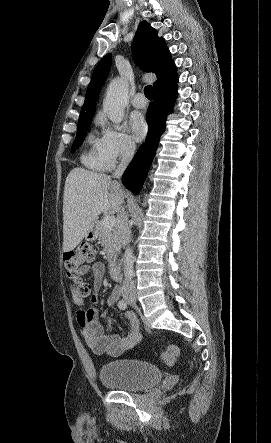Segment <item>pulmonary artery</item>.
Segmentation results:
<instances>
[{"instance_id":"e3ab8cb5","label":"pulmonary artery","mask_w":271,"mask_h":443,"mask_svg":"<svg viewBox=\"0 0 271 443\" xmlns=\"http://www.w3.org/2000/svg\"><path fill=\"white\" fill-rule=\"evenodd\" d=\"M131 102L135 108H139V109L145 108L148 103L147 98L145 97V95L143 93H136L133 96Z\"/></svg>"}]
</instances>
